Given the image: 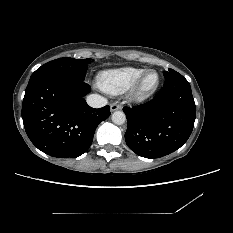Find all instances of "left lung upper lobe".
Masks as SVG:
<instances>
[{"instance_id": "5c2ea615", "label": "left lung upper lobe", "mask_w": 233, "mask_h": 233, "mask_svg": "<svg viewBox=\"0 0 233 233\" xmlns=\"http://www.w3.org/2000/svg\"><path fill=\"white\" fill-rule=\"evenodd\" d=\"M178 72L174 71L173 69H168V71H164L163 75L165 77V79H168L170 77H172L173 75L177 74Z\"/></svg>"}]
</instances>
